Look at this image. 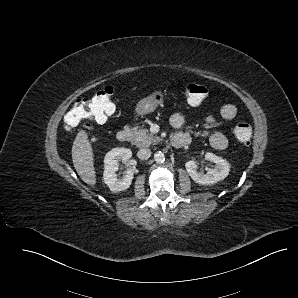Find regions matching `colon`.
I'll return each instance as SVG.
<instances>
[{
	"label": "colon",
	"mask_w": 298,
	"mask_h": 298,
	"mask_svg": "<svg viewBox=\"0 0 298 298\" xmlns=\"http://www.w3.org/2000/svg\"><path fill=\"white\" fill-rule=\"evenodd\" d=\"M114 90L107 86L91 97L78 98L65 115V124L73 128L83 121L105 122L115 111L113 103ZM187 101L192 105L202 103L208 96V90L199 84H188L184 87ZM234 135L241 143H249L252 138V127L246 122H239L234 127Z\"/></svg>",
	"instance_id": "1"
}]
</instances>
